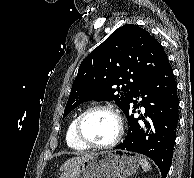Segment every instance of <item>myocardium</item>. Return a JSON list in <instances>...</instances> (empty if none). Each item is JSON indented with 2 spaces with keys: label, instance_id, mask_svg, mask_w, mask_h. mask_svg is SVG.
Listing matches in <instances>:
<instances>
[{
  "label": "myocardium",
  "instance_id": "myocardium-1",
  "mask_svg": "<svg viewBox=\"0 0 194 178\" xmlns=\"http://www.w3.org/2000/svg\"><path fill=\"white\" fill-rule=\"evenodd\" d=\"M96 110H103L106 111L110 114H112L117 122V133L115 137L108 143L106 144H96L90 142L88 139H86L82 133V123L84 118L91 113L92 111ZM124 132V123L123 119L120 115V113L111 105H103V104H97V105H92L85 109L77 118L76 124H75V136L78 139L79 142H81L83 145H85L88 148H95V149H109L114 147L119 143L123 136Z\"/></svg>",
  "mask_w": 194,
  "mask_h": 178
}]
</instances>
